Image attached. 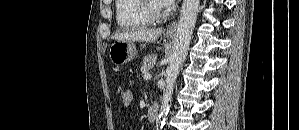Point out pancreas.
<instances>
[{"label": "pancreas", "instance_id": "1", "mask_svg": "<svg viewBox=\"0 0 299 130\" xmlns=\"http://www.w3.org/2000/svg\"><path fill=\"white\" fill-rule=\"evenodd\" d=\"M157 55L154 54H148L143 59V64L141 66V72L143 74L148 73V71L154 67L156 63Z\"/></svg>", "mask_w": 299, "mask_h": 130}]
</instances>
